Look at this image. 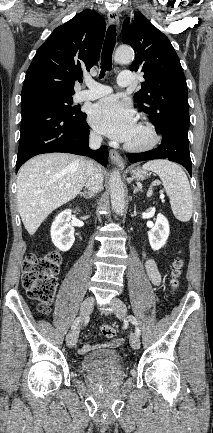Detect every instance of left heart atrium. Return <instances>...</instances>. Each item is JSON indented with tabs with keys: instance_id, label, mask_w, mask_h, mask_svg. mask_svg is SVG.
Returning a JSON list of instances; mask_svg holds the SVG:
<instances>
[{
	"instance_id": "obj_1",
	"label": "left heart atrium",
	"mask_w": 213,
	"mask_h": 433,
	"mask_svg": "<svg viewBox=\"0 0 213 433\" xmlns=\"http://www.w3.org/2000/svg\"><path fill=\"white\" fill-rule=\"evenodd\" d=\"M90 124L99 132L121 142H126L137 122L128 102L108 97L96 103L89 115Z\"/></svg>"
}]
</instances>
